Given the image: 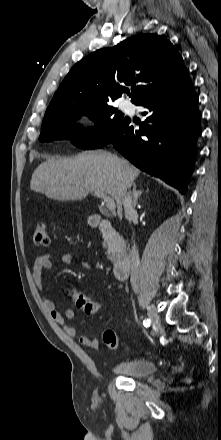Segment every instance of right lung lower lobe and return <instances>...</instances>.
<instances>
[{
  "label": "right lung lower lobe",
  "instance_id": "obj_1",
  "mask_svg": "<svg viewBox=\"0 0 221 440\" xmlns=\"http://www.w3.org/2000/svg\"><path fill=\"white\" fill-rule=\"evenodd\" d=\"M136 105L147 108L142 113L147 118L140 129L136 130L128 118L106 144L112 143L136 167L185 193L201 134V114L193 84L188 78Z\"/></svg>",
  "mask_w": 221,
  "mask_h": 440
}]
</instances>
